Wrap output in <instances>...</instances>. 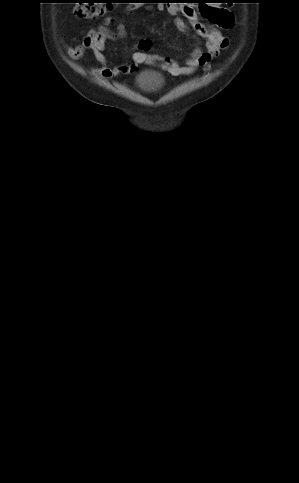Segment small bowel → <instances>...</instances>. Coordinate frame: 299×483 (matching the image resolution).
Wrapping results in <instances>:
<instances>
[{
    "label": "small bowel",
    "mask_w": 299,
    "mask_h": 483,
    "mask_svg": "<svg viewBox=\"0 0 299 483\" xmlns=\"http://www.w3.org/2000/svg\"><path fill=\"white\" fill-rule=\"evenodd\" d=\"M182 3V2H175ZM135 7H130L133 10ZM160 10L165 9L174 17V22L178 30L185 31L187 28L184 18L188 19L196 33L206 40V49L195 48L185 60L184 64L166 58L161 55L149 54L151 42L149 39H142L138 44V50L132 54V62L122 65H108V58L104 53L105 41L108 38L118 39L126 35V26L122 23L116 24L115 31H111L108 26L115 24V20L107 17L104 24L88 31L82 41L72 47L66 46L68 55L73 59L82 58L87 51H92L98 63L96 73L109 79L117 75H126L134 72L141 64L154 63L175 76H186L195 73L199 67H208L210 62L216 58L222 50L227 48L228 39L214 26L208 27L197 18L198 13L192 5L168 4L158 6ZM201 12L216 26L229 29L234 22L233 14L216 5H206L201 7Z\"/></svg>",
    "instance_id": "small-bowel-1"
}]
</instances>
